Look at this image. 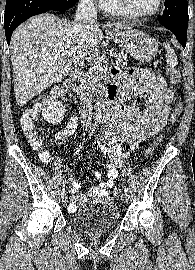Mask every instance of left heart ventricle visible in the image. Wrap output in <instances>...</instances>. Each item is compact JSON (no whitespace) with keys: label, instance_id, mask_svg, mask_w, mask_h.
I'll list each match as a JSON object with an SVG mask.
<instances>
[{"label":"left heart ventricle","instance_id":"left-heart-ventricle-1","mask_svg":"<svg viewBox=\"0 0 195 270\" xmlns=\"http://www.w3.org/2000/svg\"><path fill=\"white\" fill-rule=\"evenodd\" d=\"M132 8L140 13L153 11L158 3V0H129Z\"/></svg>","mask_w":195,"mask_h":270}]
</instances>
